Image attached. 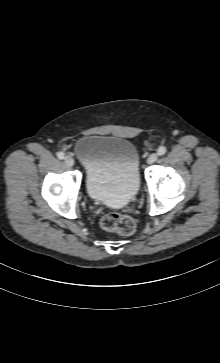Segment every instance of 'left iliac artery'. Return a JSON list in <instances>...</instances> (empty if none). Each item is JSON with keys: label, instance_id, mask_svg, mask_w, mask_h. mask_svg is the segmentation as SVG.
<instances>
[{"label": "left iliac artery", "instance_id": "44dca946", "mask_svg": "<svg viewBox=\"0 0 220 363\" xmlns=\"http://www.w3.org/2000/svg\"><path fill=\"white\" fill-rule=\"evenodd\" d=\"M166 151H167L166 147L160 146L159 149H158V151H157V154L159 156H162V155H164L166 153Z\"/></svg>", "mask_w": 220, "mask_h": 363}]
</instances>
